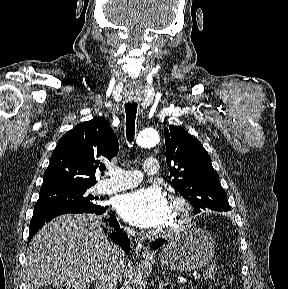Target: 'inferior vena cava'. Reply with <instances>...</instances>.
I'll return each instance as SVG.
<instances>
[{
	"label": "inferior vena cava",
	"mask_w": 288,
	"mask_h": 289,
	"mask_svg": "<svg viewBox=\"0 0 288 289\" xmlns=\"http://www.w3.org/2000/svg\"><path fill=\"white\" fill-rule=\"evenodd\" d=\"M124 231L134 236V231L130 228H124ZM124 253L115 244L111 248L108 262L96 274V289H116L117 281L123 265Z\"/></svg>",
	"instance_id": "1"
}]
</instances>
